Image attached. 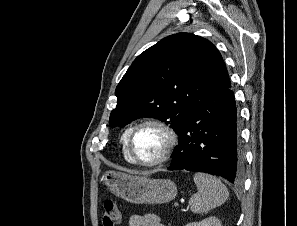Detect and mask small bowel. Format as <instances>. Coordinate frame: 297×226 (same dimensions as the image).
<instances>
[{
  "label": "small bowel",
  "instance_id": "small-bowel-1",
  "mask_svg": "<svg viewBox=\"0 0 297 226\" xmlns=\"http://www.w3.org/2000/svg\"><path fill=\"white\" fill-rule=\"evenodd\" d=\"M129 226H164L160 219L155 215L134 214L130 216Z\"/></svg>",
  "mask_w": 297,
  "mask_h": 226
}]
</instances>
